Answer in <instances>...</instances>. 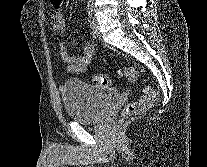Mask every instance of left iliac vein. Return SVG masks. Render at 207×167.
<instances>
[{"mask_svg":"<svg viewBox=\"0 0 207 167\" xmlns=\"http://www.w3.org/2000/svg\"><path fill=\"white\" fill-rule=\"evenodd\" d=\"M93 30L96 34H100V27L96 19H93Z\"/></svg>","mask_w":207,"mask_h":167,"instance_id":"left-iliac-vein-1","label":"left iliac vein"}]
</instances>
